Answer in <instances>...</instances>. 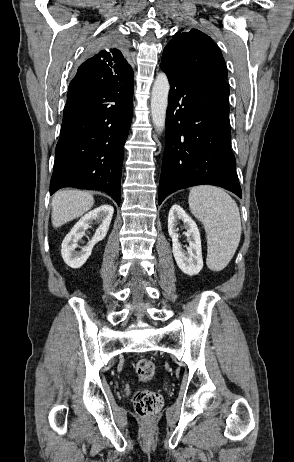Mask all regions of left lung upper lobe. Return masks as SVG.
Returning a JSON list of instances; mask_svg holds the SVG:
<instances>
[{
	"mask_svg": "<svg viewBox=\"0 0 294 462\" xmlns=\"http://www.w3.org/2000/svg\"><path fill=\"white\" fill-rule=\"evenodd\" d=\"M161 66L190 78L224 80L227 69L219 47L197 29L176 33L164 48Z\"/></svg>",
	"mask_w": 294,
	"mask_h": 462,
	"instance_id": "1",
	"label": "left lung upper lobe"
}]
</instances>
